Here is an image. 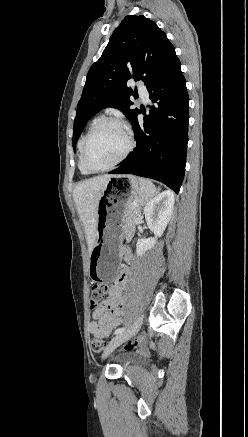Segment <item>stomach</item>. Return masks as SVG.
I'll list each match as a JSON object with an SVG mask.
<instances>
[{
	"label": "stomach",
	"mask_w": 248,
	"mask_h": 437,
	"mask_svg": "<svg viewBox=\"0 0 248 437\" xmlns=\"http://www.w3.org/2000/svg\"><path fill=\"white\" fill-rule=\"evenodd\" d=\"M141 194L139 180L127 174L113 176L103 189L97 207L96 242L90 254L94 286H114L119 243L125 229L124 212L134 199L140 203Z\"/></svg>",
	"instance_id": "stomach-1"
}]
</instances>
